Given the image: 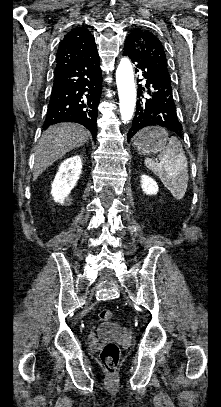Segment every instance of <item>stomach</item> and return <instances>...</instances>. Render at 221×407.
<instances>
[{
    "mask_svg": "<svg viewBox=\"0 0 221 407\" xmlns=\"http://www.w3.org/2000/svg\"><path fill=\"white\" fill-rule=\"evenodd\" d=\"M168 133L162 128H145L140 131L135 140L134 145L140 154L158 153L166 147Z\"/></svg>",
    "mask_w": 221,
    "mask_h": 407,
    "instance_id": "0dacf381",
    "label": "stomach"
}]
</instances>
